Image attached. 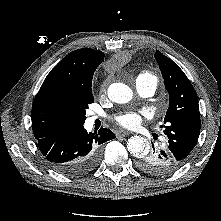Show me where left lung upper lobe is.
Returning a JSON list of instances; mask_svg holds the SVG:
<instances>
[{
  "label": "left lung upper lobe",
  "mask_w": 221,
  "mask_h": 221,
  "mask_svg": "<svg viewBox=\"0 0 221 221\" xmlns=\"http://www.w3.org/2000/svg\"><path fill=\"white\" fill-rule=\"evenodd\" d=\"M155 58L169 93V107L164 119V134L171 152L181 162L195 147L201 128L196 92L180 67L160 51Z\"/></svg>",
  "instance_id": "left-lung-upper-lobe-1"
}]
</instances>
